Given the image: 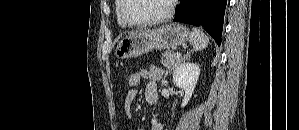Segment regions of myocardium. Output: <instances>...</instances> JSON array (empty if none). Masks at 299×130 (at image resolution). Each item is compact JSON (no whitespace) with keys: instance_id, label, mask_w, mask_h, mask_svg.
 I'll return each mask as SVG.
<instances>
[{"instance_id":"1","label":"myocardium","mask_w":299,"mask_h":130,"mask_svg":"<svg viewBox=\"0 0 299 130\" xmlns=\"http://www.w3.org/2000/svg\"><path fill=\"white\" fill-rule=\"evenodd\" d=\"M121 1H122V5H121V10H120V16H121L122 20L127 25H130L133 27H147V26L160 24V23H163V22L169 20L174 13L175 4L177 2L176 0H170L167 11L158 17H155V18H152L149 20H145V21H135V20L130 19L128 17V15L126 14V8H127V4H128L129 0H121Z\"/></svg>"}]
</instances>
